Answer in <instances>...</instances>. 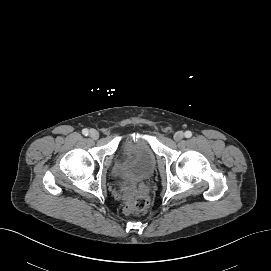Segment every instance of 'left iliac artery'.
<instances>
[{
  "label": "left iliac artery",
  "mask_w": 271,
  "mask_h": 271,
  "mask_svg": "<svg viewBox=\"0 0 271 271\" xmlns=\"http://www.w3.org/2000/svg\"><path fill=\"white\" fill-rule=\"evenodd\" d=\"M191 136H192V132L191 131L188 130V131L185 132V137L186 138H190Z\"/></svg>",
  "instance_id": "44dca946"
}]
</instances>
